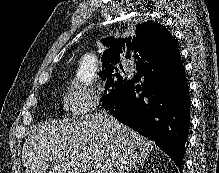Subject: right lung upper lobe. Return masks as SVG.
I'll return each instance as SVG.
<instances>
[{
    "mask_svg": "<svg viewBox=\"0 0 219 173\" xmlns=\"http://www.w3.org/2000/svg\"><path fill=\"white\" fill-rule=\"evenodd\" d=\"M102 42L109 47L102 56L104 70L122 67L124 58H133L136 66H140L151 58L161 65L170 66L180 58L178 41L159 23L138 24L136 36L132 41L131 37L125 39L107 37Z\"/></svg>",
    "mask_w": 219,
    "mask_h": 173,
    "instance_id": "obj_1",
    "label": "right lung upper lobe"
}]
</instances>
